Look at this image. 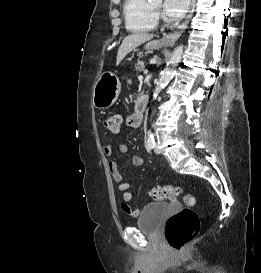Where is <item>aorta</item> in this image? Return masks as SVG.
<instances>
[{"label":"aorta","instance_id":"762f6f07","mask_svg":"<svg viewBox=\"0 0 261 273\" xmlns=\"http://www.w3.org/2000/svg\"><path fill=\"white\" fill-rule=\"evenodd\" d=\"M182 55H183V45H180L174 49V51L172 52L170 61L168 62L165 69L161 72L160 78L157 82V86H156L154 94H153L154 98L157 97L159 92L171 80L172 76L174 75L176 65H178L181 62Z\"/></svg>","mask_w":261,"mask_h":273}]
</instances>
